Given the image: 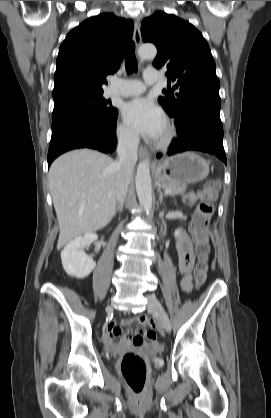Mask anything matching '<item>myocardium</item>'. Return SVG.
Listing matches in <instances>:
<instances>
[{"label": "myocardium", "instance_id": "1", "mask_svg": "<svg viewBox=\"0 0 271 418\" xmlns=\"http://www.w3.org/2000/svg\"><path fill=\"white\" fill-rule=\"evenodd\" d=\"M175 137V129L174 126L170 123H167L165 127V132L162 136L158 138L155 143V147L158 149H166Z\"/></svg>", "mask_w": 271, "mask_h": 418}]
</instances>
